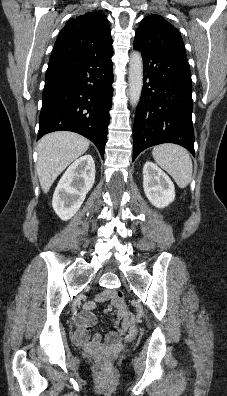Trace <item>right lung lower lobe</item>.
<instances>
[{
  "label": "right lung lower lobe",
  "mask_w": 227,
  "mask_h": 396,
  "mask_svg": "<svg viewBox=\"0 0 227 396\" xmlns=\"http://www.w3.org/2000/svg\"><path fill=\"white\" fill-rule=\"evenodd\" d=\"M112 44L49 61L37 139L59 130L91 140L103 158L112 106Z\"/></svg>",
  "instance_id": "right-lung-lower-lobe-1"
}]
</instances>
